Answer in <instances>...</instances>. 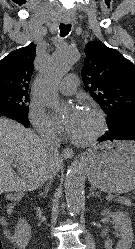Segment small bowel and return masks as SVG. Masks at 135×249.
<instances>
[{
  "label": "small bowel",
  "mask_w": 135,
  "mask_h": 249,
  "mask_svg": "<svg viewBox=\"0 0 135 249\" xmlns=\"http://www.w3.org/2000/svg\"><path fill=\"white\" fill-rule=\"evenodd\" d=\"M0 224L3 227L7 228V224H8L7 219L5 217H0ZM6 236L7 238H10L8 231H6Z\"/></svg>",
  "instance_id": "small-bowel-1"
}]
</instances>
